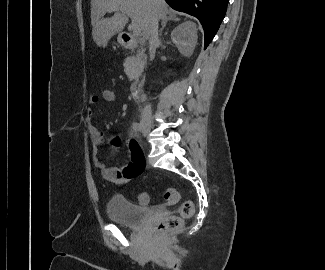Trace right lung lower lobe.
<instances>
[{"instance_id": "98d812e1", "label": "right lung lower lobe", "mask_w": 325, "mask_h": 270, "mask_svg": "<svg viewBox=\"0 0 325 270\" xmlns=\"http://www.w3.org/2000/svg\"><path fill=\"white\" fill-rule=\"evenodd\" d=\"M173 9L199 19L204 29L206 48L222 22L229 0H165Z\"/></svg>"}]
</instances>
